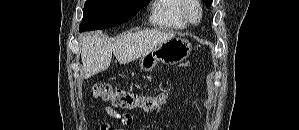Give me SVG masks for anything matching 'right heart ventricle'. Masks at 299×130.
I'll return each instance as SVG.
<instances>
[{"label": "right heart ventricle", "instance_id": "right-heart-ventricle-1", "mask_svg": "<svg viewBox=\"0 0 299 130\" xmlns=\"http://www.w3.org/2000/svg\"><path fill=\"white\" fill-rule=\"evenodd\" d=\"M183 7L184 0H156L150 20L154 25L160 27L185 29L188 23L182 14Z\"/></svg>", "mask_w": 299, "mask_h": 130}]
</instances>
